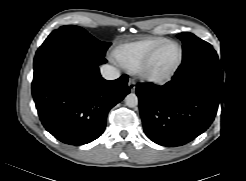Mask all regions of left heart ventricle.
Masks as SVG:
<instances>
[{"label":"left heart ventricle","mask_w":246,"mask_h":181,"mask_svg":"<svg viewBox=\"0 0 246 181\" xmlns=\"http://www.w3.org/2000/svg\"><path fill=\"white\" fill-rule=\"evenodd\" d=\"M178 56V49L175 45L166 47L158 56L152 66V70L157 73H164L168 71L175 63Z\"/></svg>","instance_id":"b2bd125f"}]
</instances>
